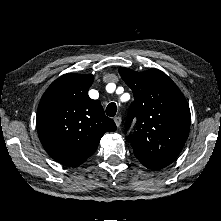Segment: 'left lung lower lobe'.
I'll list each match as a JSON object with an SVG mask.
<instances>
[{"label":"left lung lower lobe","mask_w":221,"mask_h":221,"mask_svg":"<svg viewBox=\"0 0 221 221\" xmlns=\"http://www.w3.org/2000/svg\"><path fill=\"white\" fill-rule=\"evenodd\" d=\"M135 156L137 157V159L147 168L157 171L160 170L166 166H168L170 163L165 162V161H161V160H156L153 158H150L148 156H146L143 153H138V152H134Z\"/></svg>","instance_id":"left-lung-lower-lobe-1"}]
</instances>
